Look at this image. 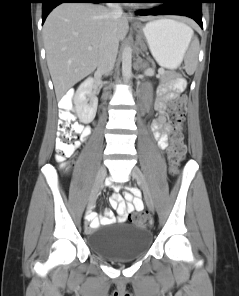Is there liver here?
<instances>
[{"label": "liver", "instance_id": "liver-1", "mask_svg": "<svg viewBox=\"0 0 239 296\" xmlns=\"http://www.w3.org/2000/svg\"><path fill=\"white\" fill-rule=\"evenodd\" d=\"M130 19L127 15L113 17L110 9L93 3H63L48 15L43 40L57 99L96 69L106 39L115 37L119 42L125 38Z\"/></svg>", "mask_w": 239, "mask_h": 296}]
</instances>
